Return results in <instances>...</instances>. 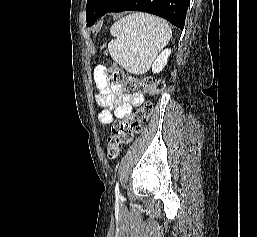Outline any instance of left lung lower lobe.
<instances>
[{
  "label": "left lung lower lobe",
  "instance_id": "1",
  "mask_svg": "<svg viewBox=\"0 0 257 237\" xmlns=\"http://www.w3.org/2000/svg\"><path fill=\"white\" fill-rule=\"evenodd\" d=\"M189 3L190 0H108L87 26H92L108 12L133 10L160 16L183 29Z\"/></svg>",
  "mask_w": 257,
  "mask_h": 237
}]
</instances>
